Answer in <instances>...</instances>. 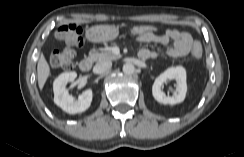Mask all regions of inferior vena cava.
I'll use <instances>...</instances> for the list:
<instances>
[{
  "instance_id": "602c4592",
  "label": "inferior vena cava",
  "mask_w": 244,
  "mask_h": 157,
  "mask_svg": "<svg viewBox=\"0 0 244 157\" xmlns=\"http://www.w3.org/2000/svg\"><path fill=\"white\" fill-rule=\"evenodd\" d=\"M112 66V62L109 60L106 61H101L98 62L95 66H94V72L97 74H101L106 72L107 70H109Z\"/></svg>"
}]
</instances>
